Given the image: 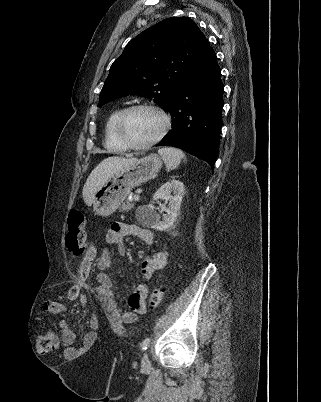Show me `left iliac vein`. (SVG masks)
Here are the masks:
<instances>
[{"label": "left iliac vein", "instance_id": "1", "mask_svg": "<svg viewBox=\"0 0 321 402\" xmlns=\"http://www.w3.org/2000/svg\"><path fill=\"white\" fill-rule=\"evenodd\" d=\"M141 363H142V367H144V368L150 367V360H149L148 354L146 352L142 356Z\"/></svg>", "mask_w": 321, "mask_h": 402}]
</instances>
